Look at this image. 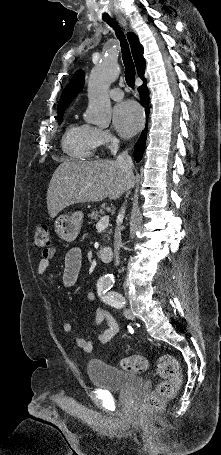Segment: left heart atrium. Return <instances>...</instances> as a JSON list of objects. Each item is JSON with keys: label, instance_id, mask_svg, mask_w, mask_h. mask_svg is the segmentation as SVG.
Masks as SVG:
<instances>
[{"label": "left heart atrium", "instance_id": "1", "mask_svg": "<svg viewBox=\"0 0 221 455\" xmlns=\"http://www.w3.org/2000/svg\"><path fill=\"white\" fill-rule=\"evenodd\" d=\"M143 124L141 109L132 101H125L113 110V126L124 137L136 134Z\"/></svg>", "mask_w": 221, "mask_h": 455}]
</instances>
